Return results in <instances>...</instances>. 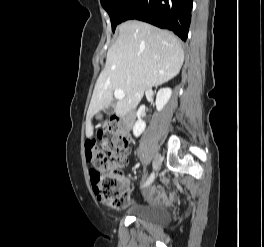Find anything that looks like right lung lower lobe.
<instances>
[{
    "mask_svg": "<svg viewBox=\"0 0 264 247\" xmlns=\"http://www.w3.org/2000/svg\"><path fill=\"white\" fill-rule=\"evenodd\" d=\"M192 4L193 0H134L128 7L123 21L136 19L148 22L169 29L186 41Z\"/></svg>",
    "mask_w": 264,
    "mask_h": 247,
    "instance_id": "98d812e1",
    "label": "right lung lower lobe"
}]
</instances>
